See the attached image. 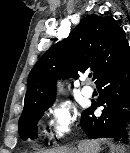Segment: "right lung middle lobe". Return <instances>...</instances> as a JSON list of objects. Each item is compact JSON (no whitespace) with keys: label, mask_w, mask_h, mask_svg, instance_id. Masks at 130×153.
Wrapping results in <instances>:
<instances>
[{"label":"right lung middle lobe","mask_w":130,"mask_h":153,"mask_svg":"<svg viewBox=\"0 0 130 153\" xmlns=\"http://www.w3.org/2000/svg\"><path fill=\"white\" fill-rule=\"evenodd\" d=\"M53 102L35 106L22 113L19 119V133L23 140L37 136V122Z\"/></svg>","instance_id":"obj_1"}]
</instances>
